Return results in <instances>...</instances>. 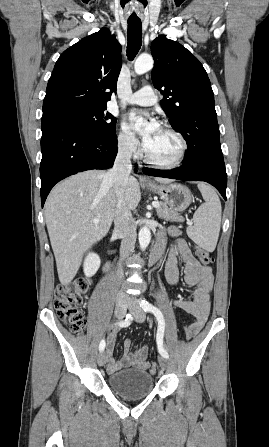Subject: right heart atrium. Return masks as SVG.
Masks as SVG:
<instances>
[{"label": "right heart atrium", "instance_id": "right-heart-atrium-1", "mask_svg": "<svg viewBox=\"0 0 269 447\" xmlns=\"http://www.w3.org/2000/svg\"><path fill=\"white\" fill-rule=\"evenodd\" d=\"M117 144L123 153L130 156H138L142 150L141 143L136 137L126 131L118 133Z\"/></svg>", "mask_w": 269, "mask_h": 447}]
</instances>
